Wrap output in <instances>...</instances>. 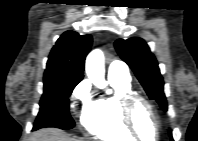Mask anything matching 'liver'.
Masks as SVG:
<instances>
[{"label": "liver", "mask_w": 198, "mask_h": 141, "mask_svg": "<svg viewBox=\"0 0 198 141\" xmlns=\"http://www.w3.org/2000/svg\"><path fill=\"white\" fill-rule=\"evenodd\" d=\"M32 141H80L71 138L59 129H41L33 134Z\"/></svg>", "instance_id": "1"}]
</instances>
